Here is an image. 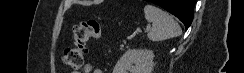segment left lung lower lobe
<instances>
[{"mask_svg":"<svg viewBox=\"0 0 244 73\" xmlns=\"http://www.w3.org/2000/svg\"><path fill=\"white\" fill-rule=\"evenodd\" d=\"M175 15L188 28L193 19L195 0H147Z\"/></svg>","mask_w":244,"mask_h":73,"instance_id":"1","label":"left lung lower lobe"}]
</instances>
